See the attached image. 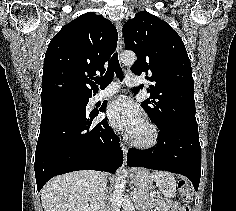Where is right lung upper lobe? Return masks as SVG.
I'll use <instances>...</instances> for the list:
<instances>
[{"instance_id": "cb5924a9", "label": "right lung upper lobe", "mask_w": 236, "mask_h": 211, "mask_svg": "<svg viewBox=\"0 0 236 211\" xmlns=\"http://www.w3.org/2000/svg\"><path fill=\"white\" fill-rule=\"evenodd\" d=\"M117 39L115 26L95 13H85L63 26L45 54L41 103L92 97L94 76L104 73Z\"/></svg>"}]
</instances>
